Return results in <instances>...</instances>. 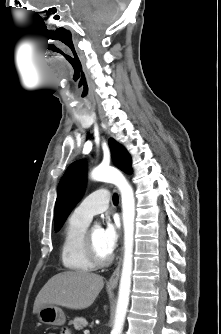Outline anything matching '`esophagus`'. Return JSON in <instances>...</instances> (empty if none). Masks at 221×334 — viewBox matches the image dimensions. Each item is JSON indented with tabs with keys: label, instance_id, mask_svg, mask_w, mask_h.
<instances>
[{
	"label": "esophagus",
	"instance_id": "esophagus-1",
	"mask_svg": "<svg viewBox=\"0 0 221 334\" xmlns=\"http://www.w3.org/2000/svg\"><path fill=\"white\" fill-rule=\"evenodd\" d=\"M121 263H122V255L119 258L118 265L116 269L114 270L113 274L111 275L110 279L107 282V285L110 287H114L118 283L119 275H120V268H121Z\"/></svg>",
	"mask_w": 221,
	"mask_h": 334
}]
</instances>
